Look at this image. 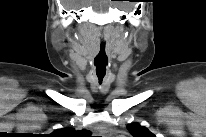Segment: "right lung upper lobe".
Wrapping results in <instances>:
<instances>
[{"label":"right lung upper lobe","instance_id":"right-lung-upper-lobe-1","mask_svg":"<svg viewBox=\"0 0 206 137\" xmlns=\"http://www.w3.org/2000/svg\"><path fill=\"white\" fill-rule=\"evenodd\" d=\"M76 131L72 128H64L55 130L52 135L57 137H70L71 134H74Z\"/></svg>","mask_w":206,"mask_h":137}]
</instances>
